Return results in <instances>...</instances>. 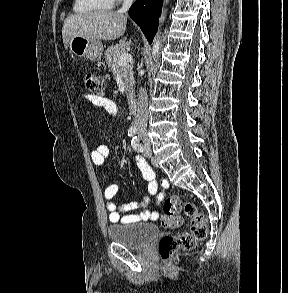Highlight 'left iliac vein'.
Instances as JSON below:
<instances>
[{
  "label": "left iliac vein",
  "mask_w": 288,
  "mask_h": 293,
  "mask_svg": "<svg viewBox=\"0 0 288 293\" xmlns=\"http://www.w3.org/2000/svg\"><path fill=\"white\" fill-rule=\"evenodd\" d=\"M145 156L148 157V158H152V152H151V146H150V143H146L145 144Z\"/></svg>",
  "instance_id": "1"
}]
</instances>
